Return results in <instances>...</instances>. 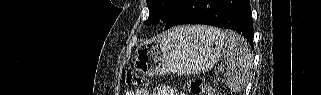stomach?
Wrapping results in <instances>:
<instances>
[{
  "instance_id": "obj_1",
  "label": "stomach",
  "mask_w": 321,
  "mask_h": 95,
  "mask_svg": "<svg viewBox=\"0 0 321 95\" xmlns=\"http://www.w3.org/2000/svg\"><path fill=\"white\" fill-rule=\"evenodd\" d=\"M191 27L174 28L140 46L135 51L136 70L143 75L157 76L197 74L213 68L224 50L223 38Z\"/></svg>"
}]
</instances>
